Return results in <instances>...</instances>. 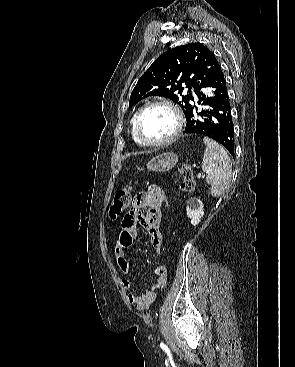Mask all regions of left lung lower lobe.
<instances>
[{"label":"left lung lower lobe","mask_w":295,"mask_h":367,"mask_svg":"<svg viewBox=\"0 0 295 367\" xmlns=\"http://www.w3.org/2000/svg\"><path fill=\"white\" fill-rule=\"evenodd\" d=\"M213 87L214 95L208 97L203 92L198 94V104L206 106L199 110L191 106L185 115V134H200L208 136L222 144L231 155L234 154V128L231 106L224 74L219 64L211 74L207 86Z\"/></svg>","instance_id":"obj_1"}]
</instances>
